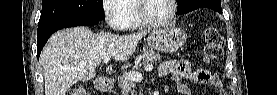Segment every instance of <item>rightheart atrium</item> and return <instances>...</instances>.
<instances>
[{"instance_id":"d8ad5b80","label":"right heart atrium","mask_w":277,"mask_h":95,"mask_svg":"<svg viewBox=\"0 0 277 95\" xmlns=\"http://www.w3.org/2000/svg\"><path fill=\"white\" fill-rule=\"evenodd\" d=\"M125 0H103L102 10L109 27L113 30L123 28V19L125 16L124 9H121V4Z\"/></svg>"}]
</instances>
